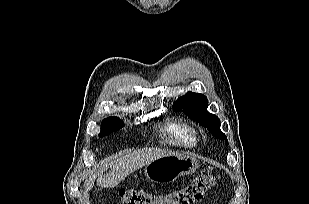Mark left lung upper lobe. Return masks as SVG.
<instances>
[{
    "mask_svg": "<svg viewBox=\"0 0 309 204\" xmlns=\"http://www.w3.org/2000/svg\"><path fill=\"white\" fill-rule=\"evenodd\" d=\"M207 106L208 100L206 96L199 93L188 92L173 104V109L175 111L183 110V112L192 119L206 127L215 138L225 139V143L228 145L225 134L220 130L219 118L209 113L207 111Z\"/></svg>",
    "mask_w": 309,
    "mask_h": 204,
    "instance_id": "1",
    "label": "left lung upper lobe"
}]
</instances>
